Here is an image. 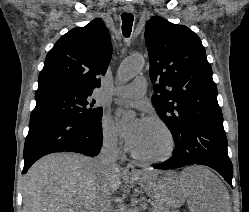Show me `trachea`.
<instances>
[{
  "label": "trachea",
  "instance_id": "3493384b",
  "mask_svg": "<svg viewBox=\"0 0 249 212\" xmlns=\"http://www.w3.org/2000/svg\"><path fill=\"white\" fill-rule=\"evenodd\" d=\"M122 32L125 37H129L131 34L132 24L134 17L132 13H122Z\"/></svg>",
  "mask_w": 249,
  "mask_h": 212
}]
</instances>
